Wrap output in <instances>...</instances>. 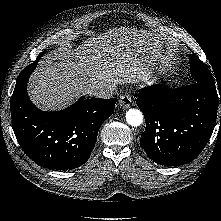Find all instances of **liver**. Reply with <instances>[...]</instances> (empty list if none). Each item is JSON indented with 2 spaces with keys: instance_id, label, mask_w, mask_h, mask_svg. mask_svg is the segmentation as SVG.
<instances>
[{
  "instance_id": "obj_1",
  "label": "liver",
  "mask_w": 221,
  "mask_h": 221,
  "mask_svg": "<svg viewBox=\"0 0 221 221\" xmlns=\"http://www.w3.org/2000/svg\"><path fill=\"white\" fill-rule=\"evenodd\" d=\"M151 33L121 27L88 38L76 48L50 55L32 74L28 93L41 110L67 107L96 87L147 81L157 62L166 63Z\"/></svg>"
}]
</instances>
